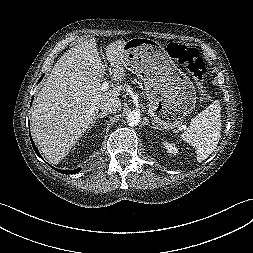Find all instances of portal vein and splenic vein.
<instances>
[{"label": "portal vein and splenic vein", "instance_id": "18ae733b", "mask_svg": "<svg viewBox=\"0 0 253 253\" xmlns=\"http://www.w3.org/2000/svg\"><path fill=\"white\" fill-rule=\"evenodd\" d=\"M110 81L109 80H105L102 84H101V89L103 91H106L109 87Z\"/></svg>", "mask_w": 253, "mask_h": 253}]
</instances>
